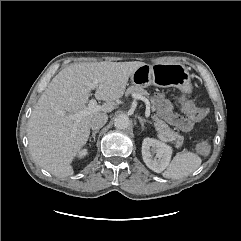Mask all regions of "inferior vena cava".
Returning a JSON list of instances; mask_svg holds the SVG:
<instances>
[{"label": "inferior vena cava", "instance_id": "obj_1", "mask_svg": "<svg viewBox=\"0 0 241 241\" xmlns=\"http://www.w3.org/2000/svg\"><path fill=\"white\" fill-rule=\"evenodd\" d=\"M107 120H108L107 114L105 113L98 114L92 118L90 122V128L92 130H99L106 124Z\"/></svg>", "mask_w": 241, "mask_h": 241}]
</instances>
